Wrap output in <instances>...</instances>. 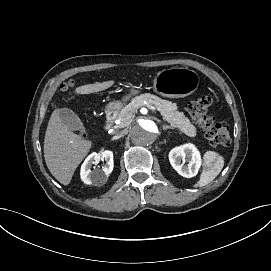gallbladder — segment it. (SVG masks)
<instances>
[{"label":"gallbladder","instance_id":"bac80fb5","mask_svg":"<svg viewBox=\"0 0 271 271\" xmlns=\"http://www.w3.org/2000/svg\"><path fill=\"white\" fill-rule=\"evenodd\" d=\"M57 113L60 117V120L68 130H80L83 129V123L80 118L68 108L57 109Z\"/></svg>","mask_w":271,"mask_h":271}]
</instances>
